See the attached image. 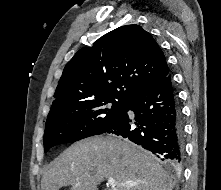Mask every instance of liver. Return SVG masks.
Segmentation results:
<instances>
[{"mask_svg":"<svg viewBox=\"0 0 221 190\" xmlns=\"http://www.w3.org/2000/svg\"><path fill=\"white\" fill-rule=\"evenodd\" d=\"M106 178L117 183L104 190H172L173 180L154 157L137 145L116 136L91 137L63 151L48 167L41 180L42 190H97Z\"/></svg>","mask_w":221,"mask_h":190,"instance_id":"liver-1","label":"liver"}]
</instances>
